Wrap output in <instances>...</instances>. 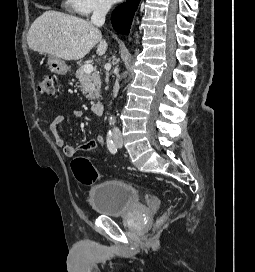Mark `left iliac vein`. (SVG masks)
<instances>
[{
	"instance_id": "4c4485c4",
	"label": "left iliac vein",
	"mask_w": 255,
	"mask_h": 272,
	"mask_svg": "<svg viewBox=\"0 0 255 272\" xmlns=\"http://www.w3.org/2000/svg\"><path fill=\"white\" fill-rule=\"evenodd\" d=\"M114 141H115V144H116V146H117L118 148H121V147H122L123 141H122V136H121L120 134L115 136Z\"/></svg>"
}]
</instances>
